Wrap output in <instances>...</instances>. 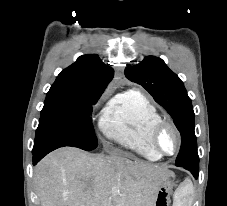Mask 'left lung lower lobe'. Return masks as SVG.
Segmentation results:
<instances>
[{
    "label": "left lung lower lobe",
    "instance_id": "left-lung-lower-lobe-1",
    "mask_svg": "<svg viewBox=\"0 0 227 206\" xmlns=\"http://www.w3.org/2000/svg\"><path fill=\"white\" fill-rule=\"evenodd\" d=\"M179 167H183L186 170H189L193 176L195 177V179L198 178V174H199V165L198 166H186V165H180Z\"/></svg>",
    "mask_w": 227,
    "mask_h": 206
}]
</instances>
